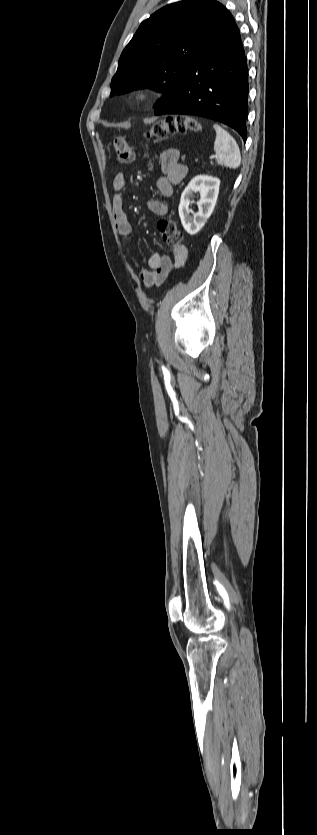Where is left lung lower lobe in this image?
<instances>
[{
    "mask_svg": "<svg viewBox=\"0 0 317 835\" xmlns=\"http://www.w3.org/2000/svg\"><path fill=\"white\" fill-rule=\"evenodd\" d=\"M248 67L239 29L229 11L188 66L177 100L155 115L187 114L219 121L247 138Z\"/></svg>",
    "mask_w": 317,
    "mask_h": 835,
    "instance_id": "1",
    "label": "left lung lower lobe"
}]
</instances>
